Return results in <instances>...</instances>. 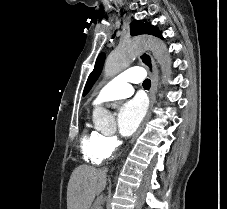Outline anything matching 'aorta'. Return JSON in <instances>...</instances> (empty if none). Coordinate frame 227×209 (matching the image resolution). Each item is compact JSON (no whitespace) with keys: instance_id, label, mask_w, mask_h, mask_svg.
<instances>
[{"instance_id":"obj_1","label":"aorta","mask_w":227,"mask_h":209,"mask_svg":"<svg viewBox=\"0 0 227 209\" xmlns=\"http://www.w3.org/2000/svg\"><path fill=\"white\" fill-rule=\"evenodd\" d=\"M145 49L152 51L154 57L161 65L163 74L170 75L171 58L167 52L166 45L156 38L143 36L123 42L109 54L104 65L105 77H113L127 68L133 58ZM104 113H106V110L98 107L93 111V117L96 118Z\"/></svg>"}]
</instances>
